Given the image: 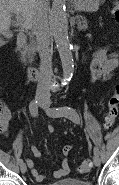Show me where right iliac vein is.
Returning <instances> with one entry per match:
<instances>
[{
    "label": "right iliac vein",
    "mask_w": 119,
    "mask_h": 185,
    "mask_svg": "<svg viewBox=\"0 0 119 185\" xmlns=\"http://www.w3.org/2000/svg\"><path fill=\"white\" fill-rule=\"evenodd\" d=\"M44 104L45 101L43 99H38V106L43 107ZM20 170L22 173L27 171V165L24 162L20 164Z\"/></svg>",
    "instance_id": "obj_1"
}]
</instances>
